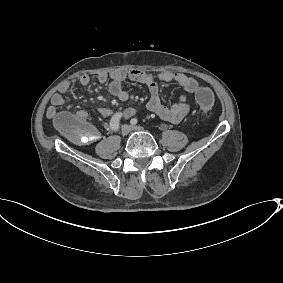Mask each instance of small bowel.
Wrapping results in <instances>:
<instances>
[{"label": "small bowel", "instance_id": "c3829d8e", "mask_svg": "<svg viewBox=\"0 0 283 283\" xmlns=\"http://www.w3.org/2000/svg\"><path fill=\"white\" fill-rule=\"evenodd\" d=\"M109 79L111 80L109 92L121 101H126L129 97L128 92L123 88L125 81L130 80L146 84L150 93L146 103V109L170 123H179L186 117L189 111L187 94H194L198 91V82L193 77L171 71H164L158 75H152L139 69H119L110 74L101 73L97 76V81L100 84H105ZM169 82L176 83L185 91V94L180 95L177 101L171 106H166L161 100L160 86L161 83ZM72 83L86 87L90 84V77L85 74L79 75L74 78L72 82L66 81L59 86L58 92L52 96L51 105L46 111V115L49 119L56 120L59 115L58 108L65 104L66 94ZM99 112L104 118H108L112 115V112L107 108H101ZM136 112L137 109L135 108H127L123 111L125 117L133 116ZM76 116L83 120L88 119V113L84 110L78 111ZM96 135L98 137L97 132Z\"/></svg>", "mask_w": 283, "mask_h": 283}]
</instances>
